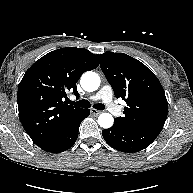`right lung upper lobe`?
<instances>
[{"label": "right lung upper lobe", "instance_id": "right-lung-upper-lobe-1", "mask_svg": "<svg viewBox=\"0 0 193 193\" xmlns=\"http://www.w3.org/2000/svg\"><path fill=\"white\" fill-rule=\"evenodd\" d=\"M99 65L84 48L66 47L37 60L25 73L17 93L20 121L39 147L57 136L83 110L68 105L66 92L78 94L81 75Z\"/></svg>", "mask_w": 193, "mask_h": 193}]
</instances>
